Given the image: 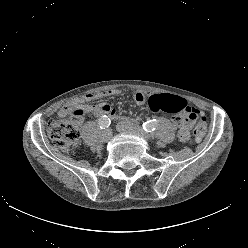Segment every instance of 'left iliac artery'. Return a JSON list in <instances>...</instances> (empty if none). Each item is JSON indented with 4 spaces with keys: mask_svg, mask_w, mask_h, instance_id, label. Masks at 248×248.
Segmentation results:
<instances>
[{
    "mask_svg": "<svg viewBox=\"0 0 248 248\" xmlns=\"http://www.w3.org/2000/svg\"><path fill=\"white\" fill-rule=\"evenodd\" d=\"M142 127L146 132H153L157 128V122L156 120H149L143 123Z\"/></svg>",
    "mask_w": 248,
    "mask_h": 248,
    "instance_id": "44dca946",
    "label": "left iliac artery"
}]
</instances>
